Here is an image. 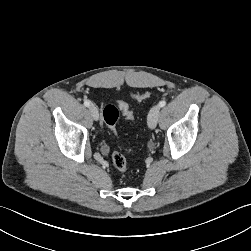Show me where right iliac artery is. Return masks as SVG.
<instances>
[{
	"label": "right iliac artery",
	"instance_id": "obj_1",
	"mask_svg": "<svg viewBox=\"0 0 251 251\" xmlns=\"http://www.w3.org/2000/svg\"><path fill=\"white\" fill-rule=\"evenodd\" d=\"M84 105L86 106V107H89L90 106V102L89 101H84Z\"/></svg>",
	"mask_w": 251,
	"mask_h": 251
}]
</instances>
